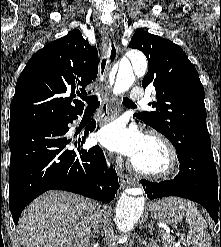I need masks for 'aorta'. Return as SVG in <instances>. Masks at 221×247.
I'll return each mask as SVG.
<instances>
[{
  "label": "aorta",
  "instance_id": "1",
  "mask_svg": "<svg viewBox=\"0 0 221 247\" xmlns=\"http://www.w3.org/2000/svg\"><path fill=\"white\" fill-rule=\"evenodd\" d=\"M126 55V71L128 75L133 76V73L138 76L144 75L147 69L145 56L138 51H129ZM144 204L145 199L143 196L132 197L125 193L121 195L117 203L115 217V223L119 231L127 232L133 228L141 216Z\"/></svg>",
  "mask_w": 221,
  "mask_h": 247
}]
</instances>
